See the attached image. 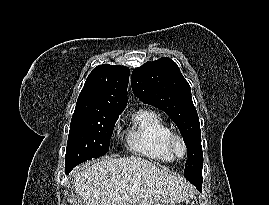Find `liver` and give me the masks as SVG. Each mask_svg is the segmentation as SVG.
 <instances>
[{
  "label": "liver",
  "mask_w": 269,
  "mask_h": 205,
  "mask_svg": "<svg viewBox=\"0 0 269 205\" xmlns=\"http://www.w3.org/2000/svg\"><path fill=\"white\" fill-rule=\"evenodd\" d=\"M72 183L85 205H174L193 198L186 182L136 156L94 162L73 173Z\"/></svg>",
  "instance_id": "1"
}]
</instances>
